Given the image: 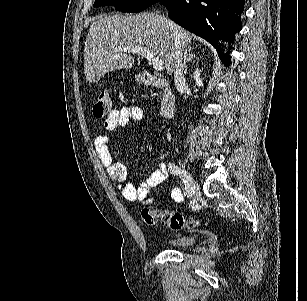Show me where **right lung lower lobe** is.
<instances>
[{"mask_svg":"<svg viewBox=\"0 0 307 301\" xmlns=\"http://www.w3.org/2000/svg\"><path fill=\"white\" fill-rule=\"evenodd\" d=\"M170 18L190 32L210 42L221 55L218 41L233 42L242 28L244 0H159ZM158 1V2H159ZM229 61V55H224Z\"/></svg>","mask_w":307,"mask_h":301,"instance_id":"obj_1","label":"right lung lower lobe"}]
</instances>
